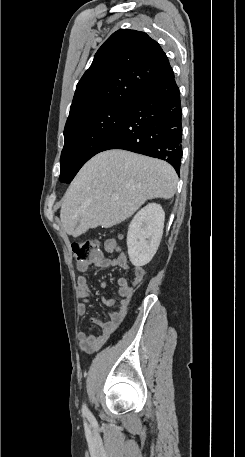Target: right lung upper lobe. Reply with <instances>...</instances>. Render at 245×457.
<instances>
[{"mask_svg":"<svg viewBox=\"0 0 245 457\" xmlns=\"http://www.w3.org/2000/svg\"><path fill=\"white\" fill-rule=\"evenodd\" d=\"M172 75L155 40L144 32L120 29L99 48L78 82L67 120L114 101L133 102L147 87Z\"/></svg>","mask_w":245,"mask_h":457,"instance_id":"right-lung-upper-lobe-1","label":"right lung upper lobe"}]
</instances>
